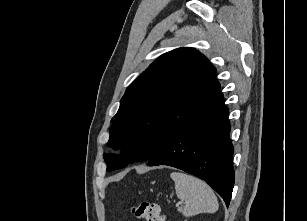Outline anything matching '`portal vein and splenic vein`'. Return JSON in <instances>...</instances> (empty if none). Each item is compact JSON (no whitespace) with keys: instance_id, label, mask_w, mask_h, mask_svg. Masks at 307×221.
<instances>
[{"instance_id":"1","label":"portal vein and splenic vein","mask_w":307,"mask_h":221,"mask_svg":"<svg viewBox=\"0 0 307 221\" xmlns=\"http://www.w3.org/2000/svg\"><path fill=\"white\" fill-rule=\"evenodd\" d=\"M181 204H182V202H177L176 206H179V205H181Z\"/></svg>"}]
</instances>
